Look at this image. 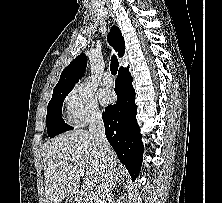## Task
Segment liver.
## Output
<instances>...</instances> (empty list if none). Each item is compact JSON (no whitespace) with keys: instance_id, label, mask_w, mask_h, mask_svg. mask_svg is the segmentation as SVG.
<instances>
[{"instance_id":"1","label":"liver","mask_w":222,"mask_h":203,"mask_svg":"<svg viewBox=\"0 0 222 203\" xmlns=\"http://www.w3.org/2000/svg\"><path fill=\"white\" fill-rule=\"evenodd\" d=\"M45 203H59L76 193L81 178L90 183L91 193L108 172L95 140L86 130H74L47 141L43 148ZM113 161L117 158L112 151ZM80 170L84 174H80Z\"/></svg>"}]
</instances>
